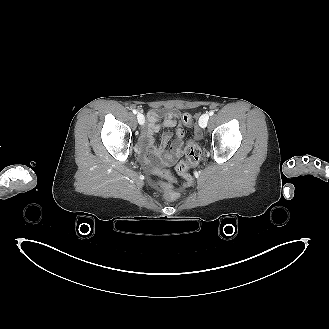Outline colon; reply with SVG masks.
Here are the masks:
<instances>
[{
  "instance_id": "obj_1",
  "label": "colon",
  "mask_w": 329,
  "mask_h": 329,
  "mask_svg": "<svg viewBox=\"0 0 329 329\" xmlns=\"http://www.w3.org/2000/svg\"><path fill=\"white\" fill-rule=\"evenodd\" d=\"M193 124H194V117L190 113L183 114L182 126L191 127L193 126ZM186 157L187 159L185 161L179 162L178 165L176 166V172L179 178L174 176L169 171L155 170L153 172L154 178L156 180L160 179V182L165 187L163 193V196L165 198H172L173 200H176L178 198V195L174 191H172V185L167 179L174 182H180V184L183 186H187L192 182V176L189 170L193 165L198 163L201 157V149L193 139H189L187 142Z\"/></svg>"
}]
</instances>
